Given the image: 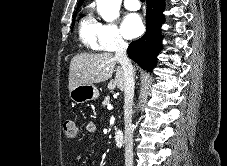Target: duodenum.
I'll return each instance as SVG.
<instances>
[{
	"label": "duodenum",
	"mask_w": 227,
	"mask_h": 166,
	"mask_svg": "<svg viewBox=\"0 0 227 166\" xmlns=\"http://www.w3.org/2000/svg\"><path fill=\"white\" fill-rule=\"evenodd\" d=\"M115 143L118 148H121L124 144V133L121 130H117L114 135Z\"/></svg>",
	"instance_id": "410a0bca"
}]
</instances>
